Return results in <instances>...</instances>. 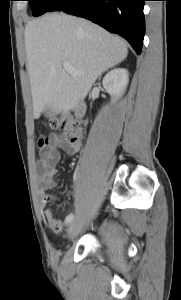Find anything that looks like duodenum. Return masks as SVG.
<instances>
[{"label":"duodenum","instance_id":"410a0bca","mask_svg":"<svg viewBox=\"0 0 181 300\" xmlns=\"http://www.w3.org/2000/svg\"><path fill=\"white\" fill-rule=\"evenodd\" d=\"M84 111H85V108H84L83 104L77 103V104L75 105V107H74V112H75V114H76L78 117L83 116Z\"/></svg>","mask_w":181,"mask_h":300}]
</instances>
